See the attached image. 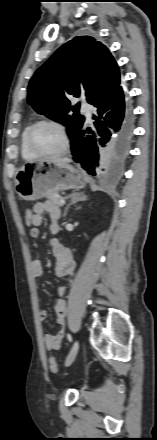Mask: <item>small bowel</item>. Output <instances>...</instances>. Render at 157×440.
Instances as JSON below:
<instances>
[{
    "instance_id": "obj_1",
    "label": "small bowel",
    "mask_w": 157,
    "mask_h": 440,
    "mask_svg": "<svg viewBox=\"0 0 157 440\" xmlns=\"http://www.w3.org/2000/svg\"><path fill=\"white\" fill-rule=\"evenodd\" d=\"M33 212L35 216L34 224L29 230V235L32 238H38L40 236L39 227L43 222V215L47 213L50 219V231L52 234H56L59 231V218L60 209L52 201L38 202L33 206ZM52 254L56 260L55 271L56 275L60 278L72 276L75 270V261L73 259L71 251L64 247L56 238L51 239ZM32 275L35 278L40 277L43 274V265L41 260L34 259L31 264ZM66 287L59 288V295L65 294ZM54 312L56 316V322L60 325L61 330L56 335H45L44 342L48 350L59 349L65 337V317L67 315L66 301L60 298L54 305ZM39 319L45 321L47 319V312L45 310L39 311Z\"/></svg>"
}]
</instances>
